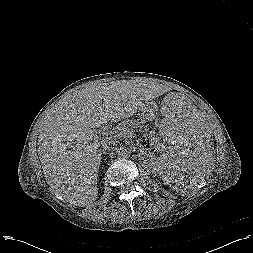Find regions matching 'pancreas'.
Masks as SVG:
<instances>
[{"label": "pancreas", "instance_id": "1", "mask_svg": "<svg viewBox=\"0 0 253 253\" xmlns=\"http://www.w3.org/2000/svg\"><path fill=\"white\" fill-rule=\"evenodd\" d=\"M140 125V122L136 121V120H131V121H124L122 123H120L118 126L112 128V129H107L106 131V135L109 136V139H121V138H127L131 135V128H129L130 126L135 128V127H142L143 126ZM145 132L147 131V129L145 128L144 130ZM144 136L151 138V134H144Z\"/></svg>", "mask_w": 253, "mask_h": 253}]
</instances>
